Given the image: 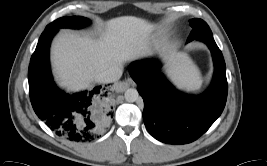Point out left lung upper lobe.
Returning <instances> with one entry per match:
<instances>
[{"label": "left lung upper lobe", "mask_w": 267, "mask_h": 166, "mask_svg": "<svg viewBox=\"0 0 267 166\" xmlns=\"http://www.w3.org/2000/svg\"><path fill=\"white\" fill-rule=\"evenodd\" d=\"M190 25L193 28V30L191 31L187 42L195 39L196 37L205 34V33H212L209 26L207 25V23L205 21H203L202 19H192L190 20Z\"/></svg>", "instance_id": "1"}]
</instances>
